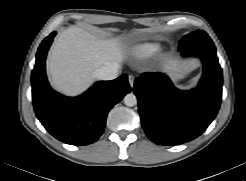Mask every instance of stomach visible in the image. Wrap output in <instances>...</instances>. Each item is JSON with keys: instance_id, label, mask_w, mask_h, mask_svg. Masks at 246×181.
Returning <instances> with one entry per match:
<instances>
[{"instance_id": "0dacf381", "label": "stomach", "mask_w": 246, "mask_h": 181, "mask_svg": "<svg viewBox=\"0 0 246 181\" xmlns=\"http://www.w3.org/2000/svg\"><path fill=\"white\" fill-rule=\"evenodd\" d=\"M187 72V68L185 66L177 69L176 73H175V78L179 79L182 78Z\"/></svg>"}]
</instances>
